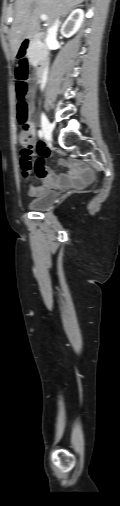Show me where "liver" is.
<instances>
[{"instance_id": "6515ba94", "label": "liver", "mask_w": 120, "mask_h": 506, "mask_svg": "<svg viewBox=\"0 0 120 506\" xmlns=\"http://www.w3.org/2000/svg\"><path fill=\"white\" fill-rule=\"evenodd\" d=\"M84 0H16L15 13L9 32V41L13 57L26 38L40 30V16L46 15L45 26L53 24L58 16H64L74 6Z\"/></svg>"}]
</instances>
